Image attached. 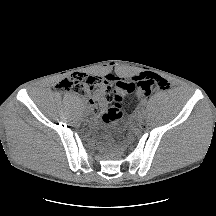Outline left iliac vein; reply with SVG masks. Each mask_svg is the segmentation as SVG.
<instances>
[{
    "instance_id": "left-iliac-vein-1",
    "label": "left iliac vein",
    "mask_w": 216,
    "mask_h": 216,
    "mask_svg": "<svg viewBox=\"0 0 216 216\" xmlns=\"http://www.w3.org/2000/svg\"><path fill=\"white\" fill-rule=\"evenodd\" d=\"M146 109L145 108H140L138 111H137V114H136V118L137 120L139 121H142L146 118Z\"/></svg>"
}]
</instances>
